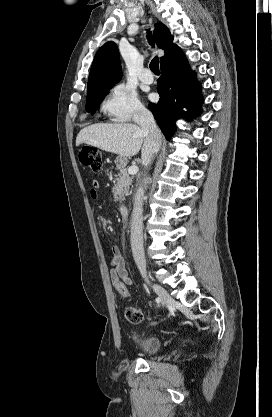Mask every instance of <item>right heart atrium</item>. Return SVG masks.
Wrapping results in <instances>:
<instances>
[{"mask_svg":"<svg viewBox=\"0 0 272 417\" xmlns=\"http://www.w3.org/2000/svg\"><path fill=\"white\" fill-rule=\"evenodd\" d=\"M102 109L111 120L116 122L132 121L147 112L137 92L125 83H117L110 89Z\"/></svg>","mask_w":272,"mask_h":417,"instance_id":"1","label":"right heart atrium"}]
</instances>
